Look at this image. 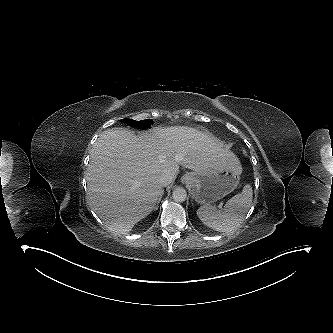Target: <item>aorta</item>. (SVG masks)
<instances>
[{"label": "aorta", "mask_w": 333, "mask_h": 333, "mask_svg": "<svg viewBox=\"0 0 333 333\" xmlns=\"http://www.w3.org/2000/svg\"><path fill=\"white\" fill-rule=\"evenodd\" d=\"M172 197L176 202H183L187 198V192L182 187H177L172 193Z\"/></svg>", "instance_id": "762f6f07"}]
</instances>
